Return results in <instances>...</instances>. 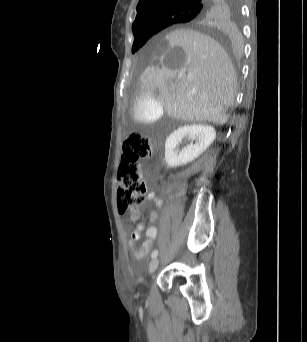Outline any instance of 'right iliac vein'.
Returning <instances> with one entry per match:
<instances>
[{"label": "right iliac vein", "mask_w": 307, "mask_h": 342, "mask_svg": "<svg viewBox=\"0 0 307 342\" xmlns=\"http://www.w3.org/2000/svg\"><path fill=\"white\" fill-rule=\"evenodd\" d=\"M158 264H159V260H158L157 258H154V259L150 262V264H149V273H150V274H153V273L156 271V269H157V267H158Z\"/></svg>", "instance_id": "63e3f726"}]
</instances>
